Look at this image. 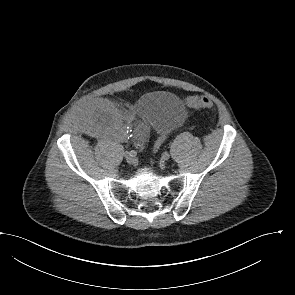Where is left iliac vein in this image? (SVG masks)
I'll list each match as a JSON object with an SVG mask.
<instances>
[{"mask_svg": "<svg viewBox=\"0 0 295 295\" xmlns=\"http://www.w3.org/2000/svg\"><path fill=\"white\" fill-rule=\"evenodd\" d=\"M169 159V154H166L165 156H162V160H161V167L165 168L166 166V161Z\"/></svg>", "mask_w": 295, "mask_h": 295, "instance_id": "4c4485c4", "label": "left iliac vein"}]
</instances>
